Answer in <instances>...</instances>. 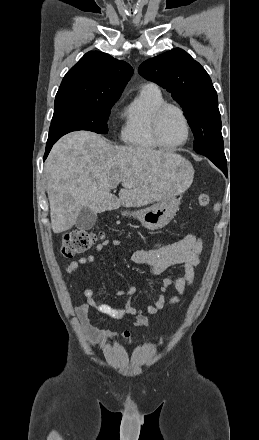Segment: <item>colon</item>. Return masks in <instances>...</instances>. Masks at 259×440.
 I'll use <instances>...</instances> for the list:
<instances>
[{"instance_id":"colon-1","label":"colon","mask_w":259,"mask_h":440,"mask_svg":"<svg viewBox=\"0 0 259 440\" xmlns=\"http://www.w3.org/2000/svg\"><path fill=\"white\" fill-rule=\"evenodd\" d=\"M197 201L201 207H207L210 203V197L206 192H202L198 195ZM100 238L99 234L91 231L73 230L65 234L62 241L61 254L64 257L70 258L83 253L95 245Z\"/></svg>"}]
</instances>
